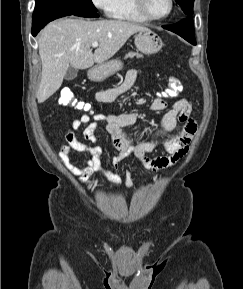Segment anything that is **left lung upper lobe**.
Here are the masks:
<instances>
[{
  "label": "left lung upper lobe",
  "mask_w": 243,
  "mask_h": 289,
  "mask_svg": "<svg viewBox=\"0 0 243 289\" xmlns=\"http://www.w3.org/2000/svg\"><path fill=\"white\" fill-rule=\"evenodd\" d=\"M175 1L181 6V8L186 14L188 15L192 14L194 0H175Z\"/></svg>",
  "instance_id": "obj_1"
}]
</instances>
